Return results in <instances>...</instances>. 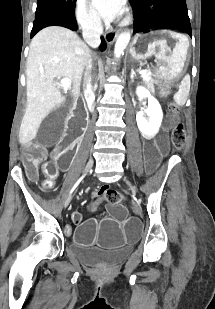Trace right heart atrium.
Here are the masks:
<instances>
[{
	"label": "right heart atrium",
	"instance_id": "1",
	"mask_svg": "<svg viewBox=\"0 0 215 309\" xmlns=\"http://www.w3.org/2000/svg\"><path fill=\"white\" fill-rule=\"evenodd\" d=\"M80 6L81 7L77 11V21L79 27L84 32L97 31L100 28V24L93 12L88 8H85L87 6V1L81 0Z\"/></svg>",
	"mask_w": 215,
	"mask_h": 309
}]
</instances>
